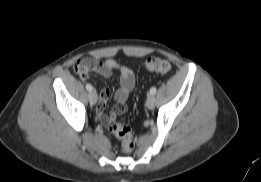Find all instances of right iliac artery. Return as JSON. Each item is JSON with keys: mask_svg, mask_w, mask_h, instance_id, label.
I'll use <instances>...</instances> for the list:
<instances>
[{"mask_svg": "<svg viewBox=\"0 0 261 182\" xmlns=\"http://www.w3.org/2000/svg\"><path fill=\"white\" fill-rule=\"evenodd\" d=\"M86 89L88 91H92L93 87L90 84H86Z\"/></svg>", "mask_w": 261, "mask_h": 182, "instance_id": "obj_1", "label": "right iliac artery"}]
</instances>
